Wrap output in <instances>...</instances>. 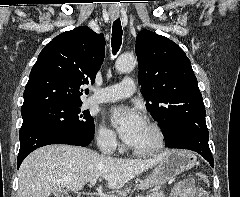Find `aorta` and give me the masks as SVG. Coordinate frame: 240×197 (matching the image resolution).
Instances as JSON below:
<instances>
[{
  "label": "aorta",
  "instance_id": "1",
  "mask_svg": "<svg viewBox=\"0 0 240 197\" xmlns=\"http://www.w3.org/2000/svg\"><path fill=\"white\" fill-rule=\"evenodd\" d=\"M135 66V58L131 54H124L118 57L115 68L119 73L130 72Z\"/></svg>",
  "mask_w": 240,
  "mask_h": 197
}]
</instances>
